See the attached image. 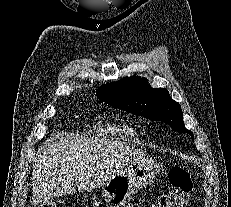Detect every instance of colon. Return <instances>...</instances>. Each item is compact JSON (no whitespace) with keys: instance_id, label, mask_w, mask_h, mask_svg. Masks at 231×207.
Segmentation results:
<instances>
[{"instance_id":"5ec220e1","label":"colon","mask_w":231,"mask_h":207,"mask_svg":"<svg viewBox=\"0 0 231 207\" xmlns=\"http://www.w3.org/2000/svg\"><path fill=\"white\" fill-rule=\"evenodd\" d=\"M168 179L170 188L157 199L154 207H185L192 190V179L189 172L181 167L169 170ZM42 207H65L58 199L45 202Z\"/></svg>"}]
</instances>
